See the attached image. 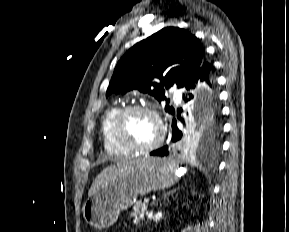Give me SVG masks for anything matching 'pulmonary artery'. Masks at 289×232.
Instances as JSON below:
<instances>
[{"instance_id": "e3ab8cb5", "label": "pulmonary artery", "mask_w": 289, "mask_h": 232, "mask_svg": "<svg viewBox=\"0 0 289 232\" xmlns=\"http://www.w3.org/2000/svg\"><path fill=\"white\" fill-rule=\"evenodd\" d=\"M173 93L176 101L180 102L181 100V92L177 88H173Z\"/></svg>"}]
</instances>
